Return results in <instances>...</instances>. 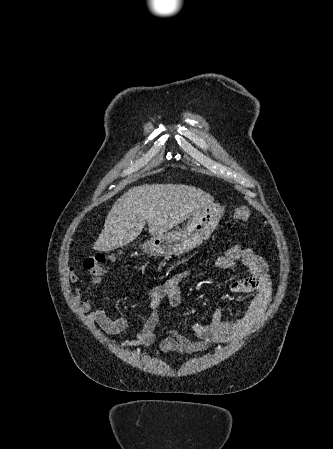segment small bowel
<instances>
[{
  "mask_svg": "<svg viewBox=\"0 0 333 449\" xmlns=\"http://www.w3.org/2000/svg\"><path fill=\"white\" fill-rule=\"evenodd\" d=\"M239 261L248 271L246 278H235L229 282L233 292L252 293L244 312L232 321H226L222 316V309L217 308L208 323H193L190 332L199 340H192L177 330H169L167 337L158 348L163 353L191 354L200 352L210 343H230L244 337L252 326L264 313L271 297V283L268 265L265 260L253 250L236 245L231 247L224 256L216 260V265L224 269L233 270ZM191 275L190 270L177 273L167 279L163 284L151 288L147 292L149 299V312L142 320L141 328L136 335L123 343L124 348L149 346L155 341V327L158 321V308L164 300L176 305L180 300V284ZM69 279L72 283L79 281L74 267L70 268ZM103 274L94 275L93 284L102 281ZM90 288L76 287L72 299L81 312L87 314V319L99 326L106 334L116 335L127 327V320L123 316L111 318L103 308L92 309L89 298Z\"/></svg>",
  "mask_w": 333,
  "mask_h": 449,
  "instance_id": "small-bowel-1",
  "label": "small bowel"
}]
</instances>
